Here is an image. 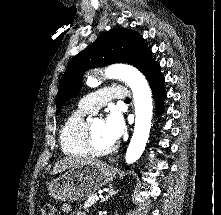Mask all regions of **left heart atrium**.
<instances>
[{
  "label": "left heart atrium",
  "instance_id": "39dd6f15",
  "mask_svg": "<svg viewBox=\"0 0 221 215\" xmlns=\"http://www.w3.org/2000/svg\"><path fill=\"white\" fill-rule=\"evenodd\" d=\"M104 131L107 137L116 142L124 132V122L121 116L113 112L104 121Z\"/></svg>",
  "mask_w": 221,
  "mask_h": 215
}]
</instances>
